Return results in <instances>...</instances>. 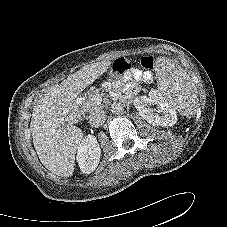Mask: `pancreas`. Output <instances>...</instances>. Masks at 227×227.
I'll list each match as a JSON object with an SVG mask.
<instances>
[{"mask_svg": "<svg viewBox=\"0 0 227 227\" xmlns=\"http://www.w3.org/2000/svg\"><path fill=\"white\" fill-rule=\"evenodd\" d=\"M98 91L91 93L88 99L82 104L84 112H94L99 110L101 106V101L97 99Z\"/></svg>", "mask_w": 227, "mask_h": 227, "instance_id": "pancreas-1", "label": "pancreas"}]
</instances>
